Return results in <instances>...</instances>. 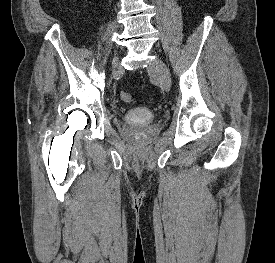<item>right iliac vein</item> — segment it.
Returning <instances> with one entry per match:
<instances>
[{
    "instance_id": "right-iliac-vein-1",
    "label": "right iliac vein",
    "mask_w": 275,
    "mask_h": 263,
    "mask_svg": "<svg viewBox=\"0 0 275 263\" xmlns=\"http://www.w3.org/2000/svg\"><path fill=\"white\" fill-rule=\"evenodd\" d=\"M117 66V62L113 61V68H115Z\"/></svg>"
}]
</instances>
